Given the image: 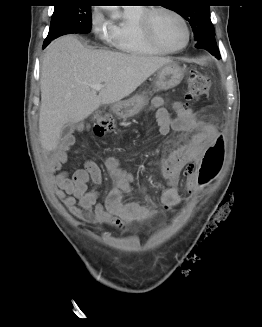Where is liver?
Instances as JSON below:
<instances>
[{
	"instance_id": "liver-1",
	"label": "liver",
	"mask_w": 262,
	"mask_h": 327,
	"mask_svg": "<svg viewBox=\"0 0 262 327\" xmlns=\"http://www.w3.org/2000/svg\"><path fill=\"white\" fill-rule=\"evenodd\" d=\"M169 63L165 57L88 49L72 35L50 43L40 79L42 148L56 149L67 124L83 121L102 104L121 101ZM95 84L104 85L99 94L91 88Z\"/></svg>"
}]
</instances>
